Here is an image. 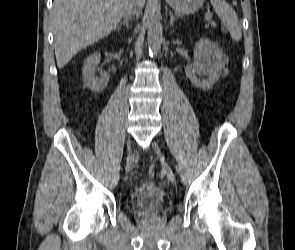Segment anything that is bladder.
I'll return each mask as SVG.
<instances>
[{
  "label": "bladder",
  "instance_id": "1",
  "mask_svg": "<svg viewBox=\"0 0 295 250\" xmlns=\"http://www.w3.org/2000/svg\"><path fill=\"white\" fill-rule=\"evenodd\" d=\"M130 204L133 211L142 217H154L162 212L164 196L152 181L138 185L132 192Z\"/></svg>",
  "mask_w": 295,
  "mask_h": 250
}]
</instances>
